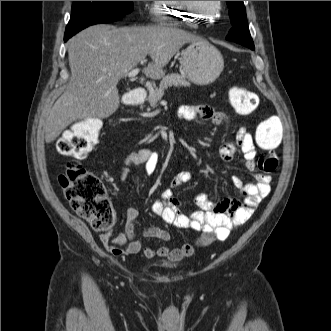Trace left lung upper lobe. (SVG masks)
Listing matches in <instances>:
<instances>
[{"instance_id":"5c2ea615","label":"left lung upper lobe","mask_w":331,"mask_h":331,"mask_svg":"<svg viewBox=\"0 0 331 331\" xmlns=\"http://www.w3.org/2000/svg\"><path fill=\"white\" fill-rule=\"evenodd\" d=\"M232 29L226 39L240 43L249 48H254L247 25L246 11L243 1H227Z\"/></svg>"}]
</instances>
